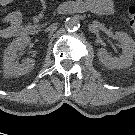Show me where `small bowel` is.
Listing matches in <instances>:
<instances>
[{"label": "small bowel", "instance_id": "obj_1", "mask_svg": "<svg viewBox=\"0 0 135 135\" xmlns=\"http://www.w3.org/2000/svg\"><path fill=\"white\" fill-rule=\"evenodd\" d=\"M14 0H0L1 6H7ZM88 10L96 15H112L114 4L112 0H85ZM3 25L0 26V38L7 39L24 34L22 26V14L19 11L10 13L2 19Z\"/></svg>", "mask_w": 135, "mask_h": 135}]
</instances>
